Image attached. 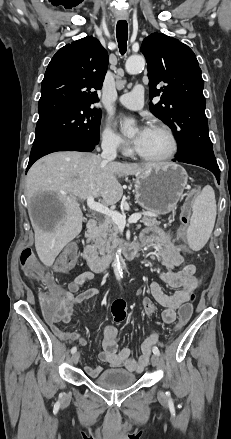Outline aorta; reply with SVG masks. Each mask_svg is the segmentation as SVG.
<instances>
[{
    "mask_svg": "<svg viewBox=\"0 0 231 439\" xmlns=\"http://www.w3.org/2000/svg\"><path fill=\"white\" fill-rule=\"evenodd\" d=\"M145 66V59L143 56L140 55H133L130 56L126 61V71L130 74H136L144 69ZM128 135H131L134 133L133 127H129L126 131ZM112 267L114 270V274L116 278L123 277V268H122V262H121V249H118L114 260L112 263Z\"/></svg>",
    "mask_w": 231,
    "mask_h": 439,
    "instance_id": "aorta-1",
    "label": "aorta"
}]
</instances>
